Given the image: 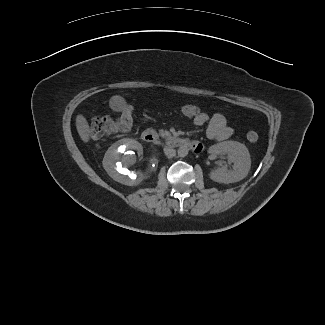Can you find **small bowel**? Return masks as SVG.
Here are the masks:
<instances>
[{"instance_id":"small-bowel-1","label":"small bowel","mask_w":325,"mask_h":325,"mask_svg":"<svg viewBox=\"0 0 325 325\" xmlns=\"http://www.w3.org/2000/svg\"><path fill=\"white\" fill-rule=\"evenodd\" d=\"M192 119L194 125L197 127L207 124L206 135L210 139L218 141L226 140L234 132L233 128L228 125L225 116L220 112H215L212 115L205 113L200 119ZM199 148V145L195 146V150H198Z\"/></svg>"}]
</instances>
